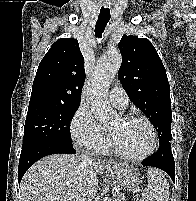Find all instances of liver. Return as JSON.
Listing matches in <instances>:
<instances>
[{
  "instance_id": "1",
  "label": "liver",
  "mask_w": 196,
  "mask_h": 201,
  "mask_svg": "<svg viewBox=\"0 0 196 201\" xmlns=\"http://www.w3.org/2000/svg\"><path fill=\"white\" fill-rule=\"evenodd\" d=\"M122 164L84 161L78 155L52 154L33 164L20 183L22 201H92L98 174ZM112 174V173H111Z\"/></svg>"
}]
</instances>
